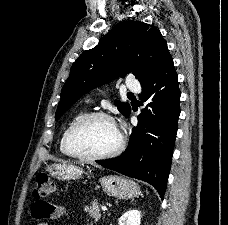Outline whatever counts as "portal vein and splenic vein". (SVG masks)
I'll list each match as a JSON object with an SVG mask.
<instances>
[{
  "instance_id": "18ae733b",
  "label": "portal vein and splenic vein",
  "mask_w": 228,
  "mask_h": 225,
  "mask_svg": "<svg viewBox=\"0 0 228 225\" xmlns=\"http://www.w3.org/2000/svg\"><path fill=\"white\" fill-rule=\"evenodd\" d=\"M102 211H107V207H101Z\"/></svg>"
}]
</instances>
